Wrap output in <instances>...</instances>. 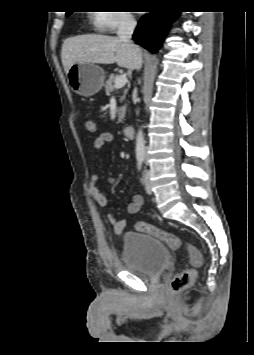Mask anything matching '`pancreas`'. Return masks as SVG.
Wrapping results in <instances>:
<instances>
[{"label":"pancreas","instance_id":"pancreas-1","mask_svg":"<svg viewBox=\"0 0 254 355\" xmlns=\"http://www.w3.org/2000/svg\"><path fill=\"white\" fill-rule=\"evenodd\" d=\"M118 77V75H110L108 80L105 83V92L107 95H111V93L114 91L115 86V80ZM127 90H125L124 95L120 98L121 101H123L125 99V94H126ZM125 111H126V107H120L119 111H118V123H121L124 119L125 116Z\"/></svg>","mask_w":254,"mask_h":355}]
</instances>
